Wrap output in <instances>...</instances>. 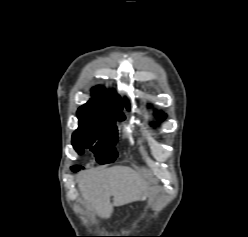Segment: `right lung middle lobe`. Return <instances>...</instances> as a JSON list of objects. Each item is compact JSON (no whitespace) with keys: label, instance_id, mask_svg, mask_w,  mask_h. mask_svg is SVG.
<instances>
[{"label":"right lung middle lobe","instance_id":"1","mask_svg":"<svg viewBox=\"0 0 248 237\" xmlns=\"http://www.w3.org/2000/svg\"><path fill=\"white\" fill-rule=\"evenodd\" d=\"M78 114L79 127L72 135V145L79 154L90 148L100 164L111 163L117 157L115 144L117 142L116 120H124V116L101 118ZM81 166H72L73 171Z\"/></svg>","mask_w":248,"mask_h":237}]
</instances>
